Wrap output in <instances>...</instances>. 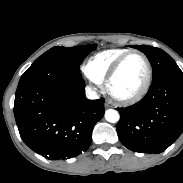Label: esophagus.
I'll return each instance as SVG.
<instances>
[{
	"label": "esophagus",
	"mask_w": 183,
	"mask_h": 183,
	"mask_svg": "<svg viewBox=\"0 0 183 183\" xmlns=\"http://www.w3.org/2000/svg\"><path fill=\"white\" fill-rule=\"evenodd\" d=\"M111 106H110V103L109 102H106L105 103V108H110Z\"/></svg>",
	"instance_id": "esophagus-1"
}]
</instances>
